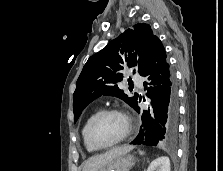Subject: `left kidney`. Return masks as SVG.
Wrapping results in <instances>:
<instances>
[{
  "label": "left kidney",
  "instance_id": "obj_1",
  "mask_svg": "<svg viewBox=\"0 0 223 171\" xmlns=\"http://www.w3.org/2000/svg\"><path fill=\"white\" fill-rule=\"evenodd\" d=\"M147 171H170V160L167 156H161L151 162Z\"/></svg>",
  "mask_w": 223,
  "mask_h": 171
}]
</instances>
